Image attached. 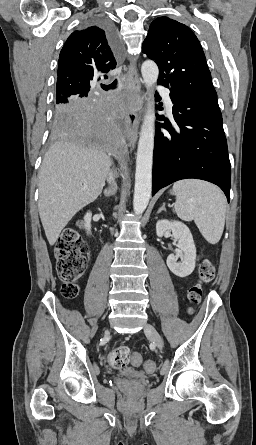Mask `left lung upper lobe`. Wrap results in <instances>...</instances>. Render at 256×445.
<instances>
[{
  "label": "left lung upper lobe",
  "mask_w": 256,
  "mask_h": 445,
  "mask_svg": "<svg viewBox=\"0 0 256 445\" xmlns=\"http://www.w3.org/2000/svg\"><path fill=\"white\" fill-rule=\"evenodd\" d=\"M142 51L158 65L159 84L187 95L217 101L201 44L186 25L168 17L155 19Z\"/></svg>",
  "instance_id": "obj_1"
}]
</instances>
